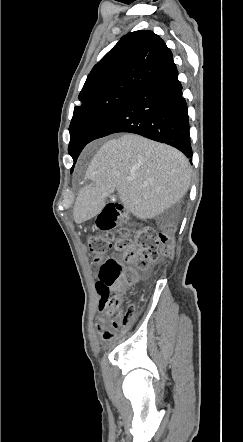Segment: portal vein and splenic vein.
<instances>
[{"mask_svg":"<svg viewBox=\"0 0 243 442\" xmlns=\"http://www.w3.org/2000/svg\"><path fill=\"white\" fill-rule=\"evenodd\" d=\"M132 178H134V176L133 177H129L128 179H132Z\"/></svg>","mask_w":243,"mask_h":442,"instance_id":"obj_1","label":"portal vein and splenic vein"}]
</instances>
